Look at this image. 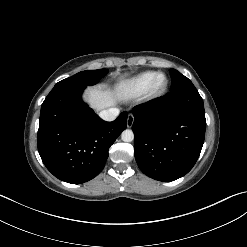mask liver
Instances as JSON below:
<instances>
[{
	"label": "liver",
	"mask_w": 247,
	"mask_h": 247,
	"mask_svg": "<svg viewBox=\"0 0 247 247\" xmlns=\"http://www.w3.org/2000/svg\"><path fill=\"white\" fill-rule=\"evenodd\" d=\"M85 101L96 111L114 106L122 98L121 86L116 90L89 87L84 95Z\"/></svg>",
	"instance_id": "liver-1"
}]
</instances>
